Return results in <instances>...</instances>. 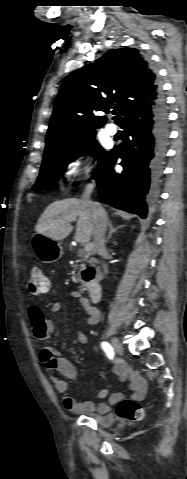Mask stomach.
Here are the masks:
<instances>
[{"mask_svg": "<svg viewBox=\"0 0 187 479\" xmlns=\"http://www.w3.org/2000/svg\"><path fill=\"white\" fill-rule=\"evenodd\" d=\"M35 256L43 263H52L59 260L63 255L60 242L48 238L40 233L34 234L31 240Z\"/></svg>", "mask_w": 187, "mask_h": 479, "instance_id": "0dacf381", "label": "stomach"}]
</instances>
